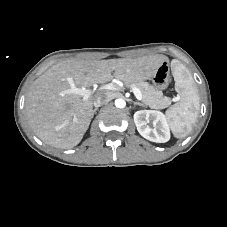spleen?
Wrapping results in <instances>:
<instances>
[{
  "label": "spleen",
  "mask_w": 227,
  "mask_h": 227,
  "mask_svg": "<svg viewBox=\"0 0 227 227\" xmlns=\"http://www.w3.org/2000/svg\"><path fill=\"white\" fill-rule=\"evenodd\" d=\"M177 89L180 90V102L166 111V119L176 138L186 137L199 115V95L187 68L178 62L173 67Z\"/></svg>",
  "instance_id": "1"
}]
</instances>
